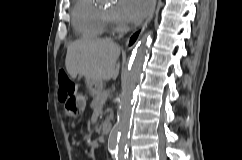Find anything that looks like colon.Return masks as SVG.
I'll use <instances>...</instances> for the list:
<instances>
[{"instance_id": "1", "label": "colon", "mask_w": 242, "mask_h": 160, "mask_svg": "<svg viewBox=\"0 0 242 160\" xmlns=\"http://www.w3.org/2000/svg\"><path fill=\"white\" fill-rule=\"evenodd\" d=\"M58 83H59V100L64 103V111L68 115H73L77 113V110L81 104L80 97L76 95L75 84L68 77L66 72L60 71L58 73Z\"/></svg>"}]
</instances>
